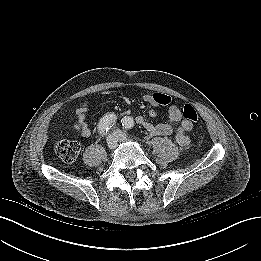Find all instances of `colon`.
Masks as SVG:
<instances>
[{"instance_id":"1","label":"colon","mask_w":261,"mask_h":261,"mask_svg":"<svg viewBox=\"0 0 261 261\" xmlns=\"http://www.w3.org/2000/svg\"><path fill=\"white\" fill-rule=\"evenodd\" d=\"M156 100L161 104H169L171 102V97L161 93H155ZM183 117L187 121L191 122L192 124L199 123V114L197 110L190 104H186L183 107ZM74 129H79L80 126L78 123L74 124ZM80 152V145L76 142L72 141H59L56 145V153L59 158L64 161L65 163H73Z\"/></svg>"}]
</instances>
